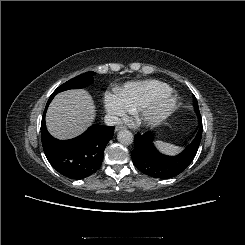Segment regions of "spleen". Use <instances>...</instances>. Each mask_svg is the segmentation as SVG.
<instances>
[{"mask_svg":"<svg viewBox=\"0 0 245 245\" xmlns=\"http://www.w3.org/2000/svg\"><path fill=\"white\" fill-rule=\"evenodd\" d=\"M154 145L159 151L167 155H176L182 150V147L175 146L163 141H155Z\"/></svg>","mask_w":245,"mask_h":245,"instance_id":"3e777b00","label":"spleen"}]
</instances>
